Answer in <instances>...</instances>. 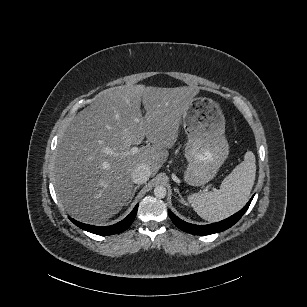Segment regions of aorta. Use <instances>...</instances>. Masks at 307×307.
<instances>
[{
	"label": "aorta",
	"mask_w": 307,
	"mask_h": 307,
	"mask_svg": "<svg viewBox=\"0 0 307 307\" xmlns=\"http://www.w3.org/2000/svg\"><path fill=\"white\" fill-rule=\"evenodd\" d=\"M166 194H167V190H166L164 185H157L154 188V195L157 198H164L166 196Z\"/></svg>",
	"instance_id": "obj_1"
}]
</instances>
